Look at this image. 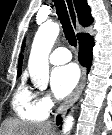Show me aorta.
I'll use <instances>...</instances> for the list:
<instances>
[{
	"label": "aorta",
	"mask_w": 112,
	"mask_h": 135,
	"mask_svg": "<svg viewBox=\"0 0 112 135\" xmlns=\"http://www.w3.org/2000/svg\"><path fill=\"white\" fill-rule=\"evenodd\" d=\"M60 32L56 22L43 24L37 31L28 61V70L35 87L46 89L49 82L48 57ZM73 116L69 114L63 125L62 135H69L73 126Z\"/></svg>",
	"instance_id": "762f6f07"
}]
</instances>
